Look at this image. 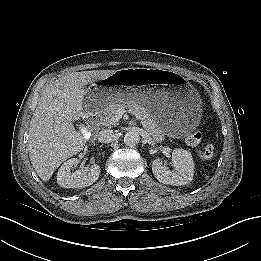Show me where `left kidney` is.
Wrapping results in <instances>:
<instances>
[{
    "label": "left kidney",
    "mask_w": 261,
    "mask_h": 261,
    "mask_svg": "<svg viewBox=\"0 0 261 261\" xmlns=\"http://www.w3.org/2000/svg\"><path fill=\"white\" fill-rule=\"evenodd\" d=\"M172 166L174 171H170L158 158L152 162V172L159 182L166 185L181 186L189 184L193 180L194 161L189 151L173 150Z\"/></svg>",
    "instance_id": "1"
}]
</instances>
